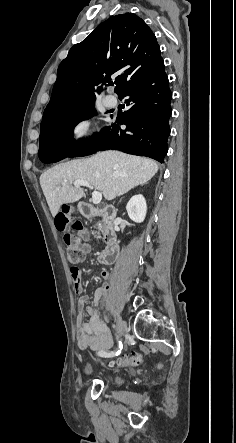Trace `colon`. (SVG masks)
<instances>
[{
	"label": "colon",
	"mask_w": 236,
	"mask_h": 443,
	"mask_svg": "<svg viewBox=\"0 0 236 443\" xmlns=\"http://www.w3.org/2000/svg\"><path fill=\"white\" fill-rule=\"evenodd\" d=\"M56 224L61 227H67L68 231L64 236L66 244V257L71 268H76L75 265L83 261L85 252L81 248L78 239V233L82 231L83 225L80 221H69V214L67 211H61L56 216ZM78 269V268H77ZM142 362V356L139 354L128 355L117 360L119 366H135Z\"/></svg>",
	"instance_id": "5ec220e1"
}]
</instances>
